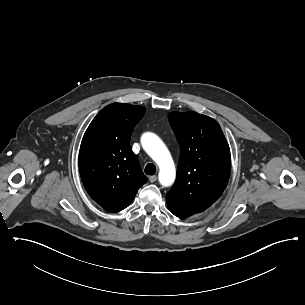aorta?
<instances>
[{
  "label": "aorta",
  "mask_w": 305,
  "mask_h": 305,
  "mask_svg": "<svg viewBox=\"0 0 305 305\" xmlns=\"http://www.w3.org/2000/svg\"><path fill=\"white\" fill-rule=\"evenodd\" d=\"M141 144L146 153L159 166V182L162 186H171L176 177V170L171 154L162 140L153 133H145L141 137Z\"/></svg>",
  "instance_id": "obj_1"
}]
</instances>
